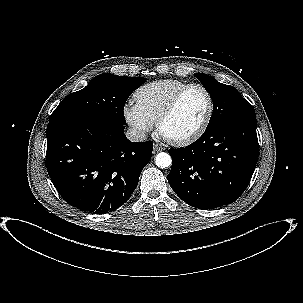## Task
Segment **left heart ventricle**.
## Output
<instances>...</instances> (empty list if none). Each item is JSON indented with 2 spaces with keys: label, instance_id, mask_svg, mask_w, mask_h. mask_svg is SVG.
<instances>
[{
  "label": "left heart ventricle",
  "instance_id": "1",
  "mask_svg": "<svg viewBox=\"0 0 303 303\" xmlns=\"http://www.w3.org/2000/svg\"><path fill=\"white\" fill-rule=\"evenodd\" d=\"M207 108L205 94L197 88L189 90L181 99L174 113L164 123V134L172 138L191 134L201 124Z\"/></svg>",
  "mask_w": 303,
  "mask_h": 303
}]
</instances>
